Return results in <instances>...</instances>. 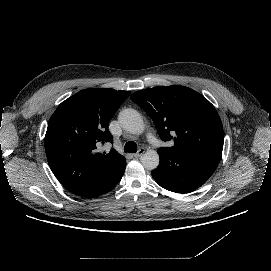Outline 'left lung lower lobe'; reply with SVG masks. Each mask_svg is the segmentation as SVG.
<instances>
[{"label": "left lung lower lobe", "mask_w": 271, "mask_h": 271, "mask_svg": "<svg viewBox=\"0 0 271 271\" xmlns=\"http://www.w3.org/2000/svg\"><path fill=\"white\" fill-rule=\"evenodd\" d=\"M160 163L151 172L164 189L175 193H189L203 185L214 173L220 158L214 155L158 149Z\"/></svg>", "instance_id": "0a47b994"}]
</instances>
